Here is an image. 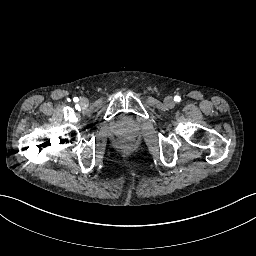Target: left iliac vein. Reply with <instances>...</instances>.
Wrapping results in <instances>:
<instances>
[{"label":"left iliac vein","instance_id":"left-iliac-vein-1","mask_svg":"<svg viewBox=\"0 0 256 256\" xmlns=\"http://www.w3.org/2000/svg\"><path fill=\"white\" fill-rule=\"evenodd\" d=\"M165 104L168 107H173L175 105V102H174L172 97L168 96V97L165 98Z\"/></svg>","mask_w":256,"mask_h":256}]
</instances>
